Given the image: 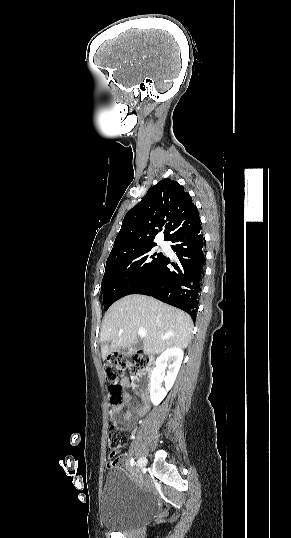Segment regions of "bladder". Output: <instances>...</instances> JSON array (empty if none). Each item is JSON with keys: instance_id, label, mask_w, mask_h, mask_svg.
I'll list each match as a JSON object with an SVG mask.
<instances>
[{"instance_id": "1", "label": "bladder", "mask_w": 291, "mask_h": 538, "mask_svg": "<svg viewBox=\"0 0 291 538\" xmlns=\"http://www.w3.org/2000/svg\"><path fill=\"white\" fill-rule=\"evenodd\" d=\"M155 511L152 497L124 469L108 471L101 491V521L109 529L126 531L147 522Z\"/></svg>"}]
</instances>
